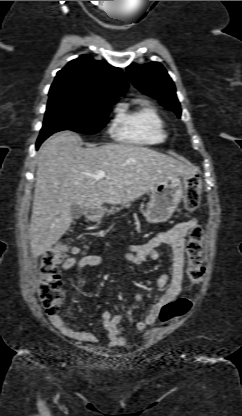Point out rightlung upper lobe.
Listing matches in <instances>:
<instances>
[{
	"label": "right lung upper lobe",
	"instance_id": "obj_1",
	"mask_svg": "<svg viewBox=\"0 0 242 416\" xmlns=\"http://www.w3.org/2000/svg\"><path fill=\"white\" fill-rule=\"evenodd\" d=\"M127 87L121 69L82 55L58 71L49 98L117 101Z\"/></svg>",
	"mask_w": 242,
	"mask_h": 416
}]
</instances>
